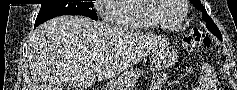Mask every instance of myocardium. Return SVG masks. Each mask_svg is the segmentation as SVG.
I'll return each instance as SVG.
<instances>
[{
  "label": "myocardium",
  "mask_w": 237,
  "mask_h": 90,
  "mask_svg": "<svg viewBox=\"0 0 237 90\" xmlns=\"http://www.w3.org/2000/svg\"><path fill=\"white\" fill-rule=\"evenodd\" d=\"M175 3L181 7L182 15L179 22L172 26L160 23L154 16L159 9H163L162 4L165 3L159 2V0H145L144 3H139V6L144 9L143 14H146V18H149L156 27L165 31H176L185 22L187 16V5L185 3H188V0H177Z\"/></svg>",
  "instance_id": "obj_1"
}]
</instances>
